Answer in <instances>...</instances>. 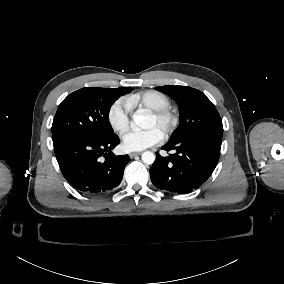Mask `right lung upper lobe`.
Segmentation results:
<instances>
[{
  "label": "right lung upper lobe",
  "instance_id": "cb5924a9",
  "mask_svg": "<svg viewBox=\"0 0 284 284\" xmlns=\"http://www.w3.org/2000/svg\"><path fill=\"white\" fill-rule=\"evenodd\" d=\"M126 88H129V87H120V88H116V89L121 90V89H126Z\"/></svg>",
  "mask_w": 284,
  "mask_h": 284
}]
</instances>
